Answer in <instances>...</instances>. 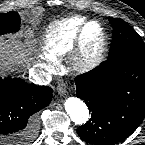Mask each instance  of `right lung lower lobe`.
Segmentation results:
<instances>
[{
    "label": "right lung lower lobe",
    "mask_w": 145,
    "mask_h": 145,
    "mask_svg": "<svg viewBox=\"0 0 145 145\" xmlns=\"http://www.w3.org/2000/svg\"><path fill=\"white\" fill-rule=\"evenodd\" d=\"M52 89L0 77V141L24 145L36 133L35 113L49 105Z\"/></svg>",
    "instance_id": "1"
}]
</instances>
